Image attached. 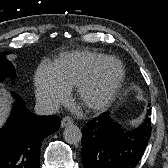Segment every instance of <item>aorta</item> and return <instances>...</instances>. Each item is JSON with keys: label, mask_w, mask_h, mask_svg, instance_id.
I'll return each instance as SVG.
<instances>
[{"label": "aorta", "mask_w": 168, "mask_h": 168, "mask_svg": "<svg viewBox=\"0 0 168 168\" xmlns=\"http://www.w3.org/2000/svg\"><path fill=\"white\" fill-rule=\"evenodd\" d=\"M65 141L69 144H77L81 141L82 132L81 129L76 125H69L63 132Z\"/></svg>", "instance_id": "obj_1"}]
</instances>
